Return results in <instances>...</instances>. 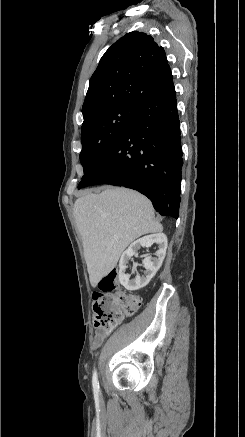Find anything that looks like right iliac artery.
<instances>
[{
	"label": "right iliac artery",
	"mask_w": 245,
	"mask_h": 437,
	"mask_svg": "<svg viewBox=\"0 0 245 437\" xmlns=\"http://www.w3.org/2000/svg\"><path fill=\"white\" fill-rule=\"evenodd\" d=\"M92 383H93V390H94V392L98 393L99 392V383H98L97 372L96 371H94V373H93Z\"/></svg>",
	"instance_id": "right-iliac-artery-1"
}]
</instances>
